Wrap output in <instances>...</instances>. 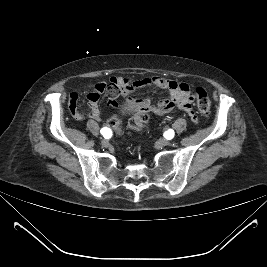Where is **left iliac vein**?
<instances>
[{
	"label": "left iliac vein",
	"mask_w": 267,
	"mask_h": 267,
	"mask_svg": "<svg viewBox=\"0 0 267 267\" xmlns=\"http://www.w3.org/2000/svg\"><path fill=\"white\" fill-rule=\"evenodd\" d=\"M169 143H170V141L167 140V139H160V140L157 141V145L159 147L167 146V145H169Z\"/></svg>",
	"instance_id": "left-iliac-vein-1"
}]
</instances>
